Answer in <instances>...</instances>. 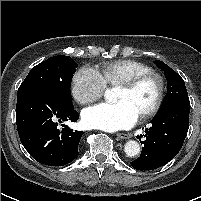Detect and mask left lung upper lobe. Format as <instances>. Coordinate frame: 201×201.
<instances>
[{
    "instance_id": "1",
    "label": "left lung upper lobe",
    "mask_w": 201,
    "mask_h": 201,
    "mask_svg": "<svg viewBox=\"0 0 201 201\" xmlns=\"http://www.w3.org/2000/svg\"><path fill=\"white\" fill-rule=\"evenodd\" d=\"M155 64L164 71L168 84L167 94L161 108L178 102H189L185 83L181 76L162 61H155Z\"/></svg>"
}]
</instances>
